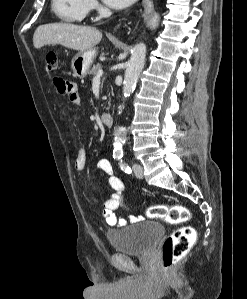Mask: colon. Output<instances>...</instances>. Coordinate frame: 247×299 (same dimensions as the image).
I'll return each mask as SVG.
<instances>
[{"label":"colon","mask_w":247,"mask_h":299,"mask_svg":"<svg viewBox=\"0 0 247 299\" xmlns=\"http://www.w3.org/2000/svg\"><path fill=\"white\" fill-rule=\"evenodd\" d=\"M46 67L49 71L58 69V57L55 52L49 51L45 55ZM149 218L162 219L168 224L184 223L189 218V211L180 204L154 205L146 210ZM196 238L195 230L190 226H182L173 231L163 242L162 263L166 270L175 266L189 251Z\"/></svg>","instance_id":"obj_1"}]
</instances>
